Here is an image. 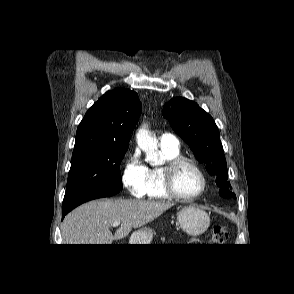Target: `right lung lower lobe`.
Masks as SVG:
<instances>
[{
    "mask_svg": "<svg viewBox=\"0 0 294 294\" xmlns=\"http://www.w3.org/2000/svg\"><path fill=\"white\" fill-rule=\"evenodd\" d=\"M120 190H113V191H103V192H93V193H88L84 194L82 196H79L67 203H63V208H62V218L65 217V215L73 210L75 207L79 206L80 204L97 199V198H102V197H109L117 194Z\"/></svg>",
    "mask_w": 294,
    "mask_h": 294,
    "instance_id": "98d812e1",
    "label": "right lung lower lobe"
}]
</instances>
